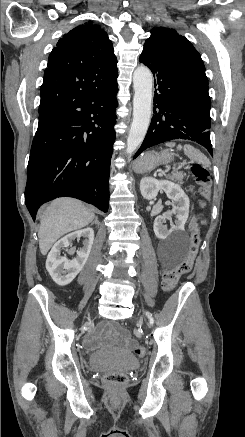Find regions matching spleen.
<instances>
[{
    "instance_id": "obj_1",
    "label": "spleen",
    "mask_w": 245,
    "mask_h": 437,
    "mask_svg": "<svg viewBox=\"0 0 245 437\" xmlns=\"http://www.w3.org/2000/svg\"><path fill=\"white\" fill-rule=\"evenodd\" d=\"M165 145L168 147H174L175 142H167ZM177 149L178 150L183 149L184 153L193 161H196V162L201 163V164L208 163L207 157L200 150L196 149L195 147H193L190 144H185L184 146L179 144L177 146Z\"/></svg>"
}]
</instances>
